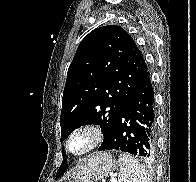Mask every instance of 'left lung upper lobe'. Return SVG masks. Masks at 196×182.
<instances>
[{
	"instance_id": "1",
	"label": "left lung upper lobe",
	"mask_w": 196,
	"mask_h": 182,
	"mask_svg": "<svg viewBox=\"0 0 196 182\" xmlns=\"http://www.w3.org/2000/svg\"><path fill=\"white\" fill-rule=\"evenodd\" d=\"M148 69L133 38L109 25L90 32L80 43L68 69L61 111V142L81 125L101 126L104 141L126 99ZM57 177L67 170V156Z\"/></svg>"
}]
</instances>
